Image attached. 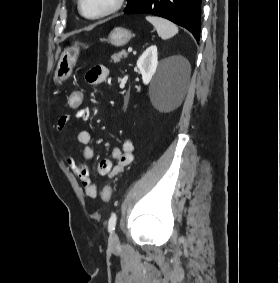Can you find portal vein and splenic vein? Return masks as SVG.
<instances>
[{
	"label": "portal vein and splenic vein",
	"instance_id": "18ae733b",
	"mask_svg": "<svg viewBox=\"0 0 280 283\" xmlns=\"http://www.w3.org/2000/svg\"><path fill=\"white\" fill-rule=\"evenodd\" d=\"M128 52L129 53L132 52V48L131 47L128 48Z\"/></svg>",
	"mask_w": 280,
	"mask_h": 283
}]
</instances>
